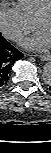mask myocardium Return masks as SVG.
<instances>
[{
    "label": "myocardium",
    "instance_id": "obj_1",
    "mask_svg": "<svg viewBox=\"0 0 51 153\" xmlns=\"http://www.w3.org/2000/svg\"><path fill=\"white\" fill-rule=\"evenodd\" d=\"M49 19L51 20V6L46 8L44 11H42L36 18L35 20V25L36 27L40 28L41 23L46 20Z\"/></svg>",
    "mask_w": 51,
    "mask_h": 153
}]
</instances>
